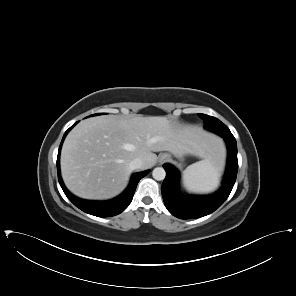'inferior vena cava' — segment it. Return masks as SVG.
Instances as JSON below:
<instances>
[{
	"label": "inferior vena cava",
	"instance_id": "1",
	"mask_svg": "<svg viewBox=\"0 0 296 296\" xmlns=\"http://www.w3.org/2000/svg\"><path fill=\"white\" fill-rule=\"evenodd\" d=\"M142 165H143V161L140 158L133 159L129 163V167H130L131 170L141 169Z\"/></svg>",
	"mask_w": 296,
	"mask_h": 296
}]
</instances>
